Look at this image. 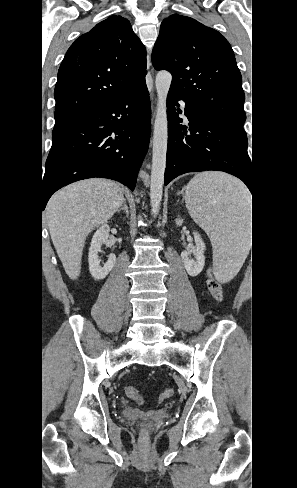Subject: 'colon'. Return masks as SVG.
I'll return each mask as SVG.
<instances>
[{"mask_svg": "<svg viewBox=\"0 0 297 488\" xmlns=\"http://www.w3.org/2000/svg\"><path fill=\"white\" fill-rule=\"evenodd\" d=\"M207 286L210 294L217 300L221 301L223 299V286L222 284L214 277L212 273V269L208 270L207 274ZM126 395L132 399L137 404L143 403V397L138 392V390L131 385H127L124 388ZM173 394L172 389H166L162 392L159 396V401H164L169 398Z\"/></svg>", "mask_w": 297, "mask_h": 488, "instance_id": "obj_1", "label": "colon"}]
</instances>
